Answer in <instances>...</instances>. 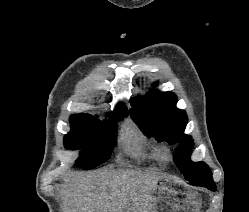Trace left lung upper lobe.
<instances>
[{"mask_svg": "<svg viewBox=\"0 0 249 212\" xmlns=\"http://www.w3.org/2000/svg\"><path fill=\"white\" fill-rule=\"evenodd\" d=\"M130 102L133 107L130 115L145 135L154 136L158 142L178 144L174 162L189 184L213 182L210 168L204 162H192L189 158L194 143L191 136L183 134L188 119L185 111L175 107V94L153 89Z\"/></svg>", "mask_w": 249, "mask_h": 212, "instance_id": "left-lung-upper-lobe-1", "label": "left lung upper lobe"}]
</instances>
